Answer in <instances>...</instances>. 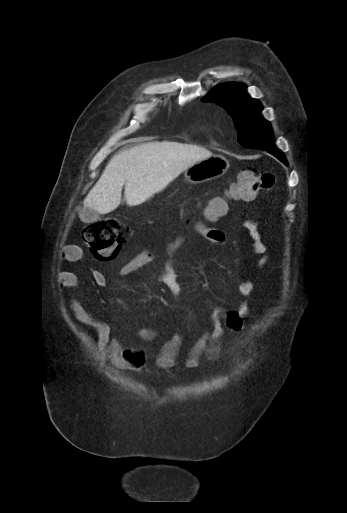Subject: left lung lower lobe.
I'll list each match as a JSON object with an SVG mask.
<instances>
[{
  "mask_svg": "<svg viewBox=\"0 0 347 513\" xmlns=\"http://www.w3.org/2000/svg\"><path fill=\"white\" fill-rule=\"evenodd\" d=\"M268 152L271 153L272 155H274L275 157H277L285 165H288V163H287L283 153L279 149L271 150V151H268Z\"/></svg>",
  "mask_w": 347,
  "mask_h": 513,
  "instance_id": "1",
  "label": "left lung lower lobe"
}]
</instances>
